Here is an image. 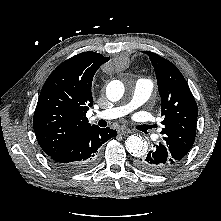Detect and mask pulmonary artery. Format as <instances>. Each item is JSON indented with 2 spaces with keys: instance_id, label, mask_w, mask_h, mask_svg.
I'll use <instances>...</instances> for the list:
<instances>
[{
  "instance_id": "pulmonary-artery-1",
  "label": "pulmonary artery",
  "mask_w": 221,
  "mask_h": 221,
  "mask_svg": "<svg viewBox=\"0 0 221 221\" xmlns=\"http://www.w3.org/2000/svg\"><path fill=\"white\" fill-rule=\"evenodd\" d=\"M152 90L153 82L150 79L140 78L135 83L132 97L128 103L100 111L95 118L110 120L125 116L143 105L151 96Z\"/></svg>"
}]
</instances>
